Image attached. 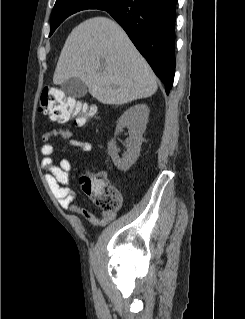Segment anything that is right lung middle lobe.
<instances>
[{"label": "right lung middle lobe", "mask_w": 245, "mask_h": 319, "mask_svg": "<svg viewBox=\"0 0 245 319\" xmlns=\"http://www.w3.org/2000/svg\"><path fill=\"white\" fill-rule=\"evenodd\" d=\"M122 1L123 0H80V1L56 0L55 6L52 11V16H51L50 35H52L55 29L60 25V23L65 18H67L68 16L74 13L75 8H80L81 10L108 9L118 5ZM81 10H78V11H81Z\"/></svg>", "instance_id": "right-lung-middle-lobe-1"}]
</instances>
